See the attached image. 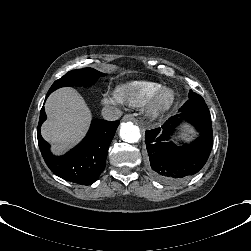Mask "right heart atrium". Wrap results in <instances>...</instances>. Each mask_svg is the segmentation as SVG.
<instances>
[{
  "instance_id": "d8ad5b80",
  "label": "right heart atrium",
  "mask_w": 251,
  "mask_h": 251,
  "mask_svg": "<svg viewBox=\"0 0 251 251\" xmlns=\"http://www.w3.org/2000/svg\"><path fill=\"white\" fill-rule=\"evenodd\" d=\"M101 102L104 105H119L120 104L119 99L115 95H112L108 92L103 93L101 97Z\"/></svg>"
}]
</instances>
